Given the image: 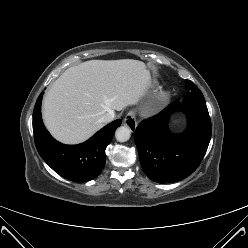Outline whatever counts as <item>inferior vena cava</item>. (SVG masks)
I'll list each match as a JSON object with an SVG mask.
<instances>
[{
  "mask_svg": "<svg viewBox=\"0 0 248 248\" xmlns=\"http://www.w3.org/2000/svg\"><path fill=\"white\" fill-rule=\"evenodd\" d=\"M114 118H115V112H114V111H110L109 113H106V114L100 119V121H101L102 123H109V122H111Z\"/></svg>",
  "mask_w": 248,
  "mask_h": 248,
  "instance_id": "obj_1",
  "label": "inferior vena cava"
}]
</instances>
